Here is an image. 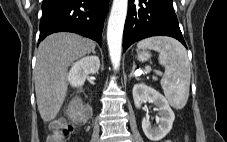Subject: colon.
Returning <instances> with one entry per match:
<instances>
[{
    "instance_id": "obj_1",
    "label": "colon",
    "mask_w": 227,
    "mask_h": 142,
    "mask_svg": "<svg viewBox=\"0 0 227 142\" xmlns=\"http://www.w3.org/2000/svg\"><path fill=\"white\" fill-rule=\"evenodd\" d=\"M86 114L82 110H75L70 115V120L57 119L50 124V134L47 142H64L73 132L74 125L84 123Z\"/></svg>"
}]
</instances>
